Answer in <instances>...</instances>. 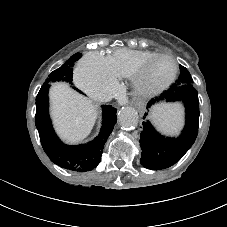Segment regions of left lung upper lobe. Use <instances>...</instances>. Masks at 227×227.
Here are the masks:
<instances>
[{
	"label": "left lung upper lobe",
	"mask_w": 227,
	"mask_h": 227,
	"mask_svg": "<svg viewBox=\"0 0 227 227\" xmlns=\"http://www.w3.org/2000/svg\"><path fill=\"white\" fill-rule=\"evenodd\" d=\"M180 76L175 84H193V79L189 73V71L180 65Z\"/></svg>",
	"instance_id": "left-lung-upper-lobe-1"
}]
</instances>
